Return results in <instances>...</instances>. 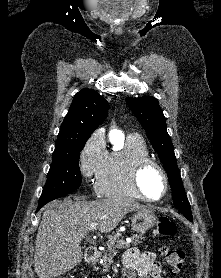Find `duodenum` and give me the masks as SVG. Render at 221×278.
<instances>
[{"mask_svg":"<svg viewBox=\"0 0 221 278\" xmlns=\"http://www.w3.org/2000/svg\"><path fill=\"white\" fill-rule=\"evenodd\" d=\"M99 252L94 246H89L85 250V259L88 264L94 263L96 258H98Z\"/></svg>","mask_w":221,"mask_h":278,"instance_id":"410a0bca","label":"duodenum"}]
</instances>
